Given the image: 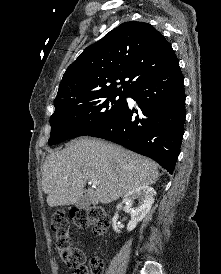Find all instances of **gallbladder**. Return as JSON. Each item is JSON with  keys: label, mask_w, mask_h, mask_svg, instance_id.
<instances>
[{"label": "gallbladder", "mask_w": 221, "mask_h": 274, "mask_svg": "<svg viewBox=\"0 0 221 274\" xmlns=\"http://www.w3.org/2000/svg\"><path fill=\"white\" fill-rule=\"evenodd\" d=\"M76 207L78 208H86L90 205V197L88 193H84L83 196L76 202Z\"/></svg>", "instance_id": "1"}]
</instances>
